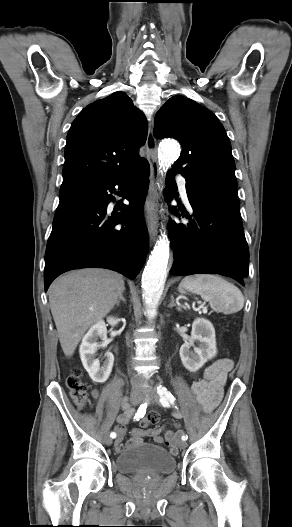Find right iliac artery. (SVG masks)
<instances>
[{"label": "right iliac artery", "mask_w": 292, "mask_h": 527, "mask_svg": "<svg viewBox=\"0 0 292 527\" xmlns=\"http://www.w3.org/2000/svg\"><path fill=\"white\" fill-rule=\"evenodd\" d=\"M146 408H147V403H144L142 404L139 409H138V412L136 413L134 419H136L137 421L142 418L146 412ZM117 434L115 432H111L110 433V437L112 439L116 438Z\"/></svg>", "instance_id": "1"}]
</instances>
